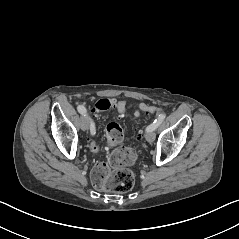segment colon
<instances>
[{
	"label": "colon",
	"mask_w": 239,
	"mask_h": 239,
	"mask_svg": "<svg viewBox=\"0 0 239 239\" xmlns=\"http://www.w3.org/2000/svg\"><path fill=\"white\" fill-rule=\"evenodd\" d=\"M115 104L112 99H100L94 106V112L99 114ZM140 109L146 114H157L159 107L142 103ZM106 138L109 146H117L123 140V130L118 123L111 122L106 126ZM91 148L97 151V144L92 143ZM136 158V154L129 148H120L113 151L108 163H100L92 171L94 185L100 189L115 193H126L132 189L135 175L130 165Z\"/></svg>",
	"instance_id": "5ec220e1"
}]
</instances>
